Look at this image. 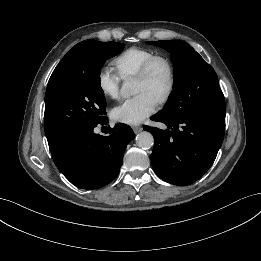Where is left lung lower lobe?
<instances>
[{"mask_svg":"<svg viewBox=\"0 0 261 261\" xmlns=\"http://www.w3.org/2000/svg\"><path fill=\"white\" fill-rule=\"evenodd\" d=\"M225 110H209L170 118L157 113L152 118L168 129L145 126L154 137L151 162L156 174L168 183L186 186L201 178L213 164L221 147Z\"/></svg>","mask_w":261,"mask_h":261,"instance_id":"obj_1","label":"left lung lower lobe"}]
</instances>
